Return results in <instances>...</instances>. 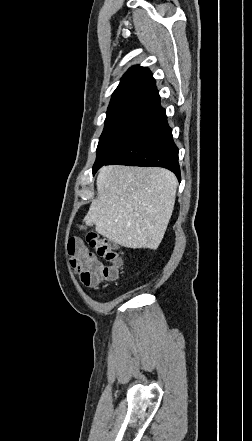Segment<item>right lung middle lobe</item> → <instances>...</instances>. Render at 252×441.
Returning a JSON list of instances; mask_svg holds the SVG:
<instances>
[{"label": "right lung middle lobe", "instance_id": "1", "mask_svg": "<svg viewBox=\"0 0 252 441\" xmlns=\"http://www.w3.org/2000/svg\"><path fill=\"white\" fill-rule=\"evenodd\" d=\"M147 102H134L107 111L105 127L99 139L93 167L100 165L122 144L145 110Z\"/></svg>", "mask_w": 252, "mask_h": 441}]
</instances>
